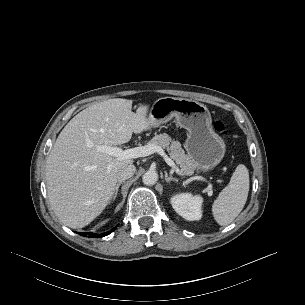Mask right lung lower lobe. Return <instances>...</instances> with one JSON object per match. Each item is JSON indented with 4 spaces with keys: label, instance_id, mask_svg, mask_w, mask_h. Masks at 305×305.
<instances>
[{
    "label": "right lung lower lobe",
    "instance_id": "right-lung-lower-lobe-1",
    "mask_svg": "<svg viewBox=\"0 0 305 305\" xmlns=\"http://www.w3.org/2000/svg\"><path fill=\"white\" fill-rule=\"evenodd\" d=\"M116 227H114L112 230H110L108 232H105L103 234H94L92 232H89V233L86 232V233H81V235L84 236V237L100 238V237H104V236L110 234L111 232H113L116 229Z\"/></svg>",
    "mask_w": 305,
    "mask_h": 305
}]
</instances>
